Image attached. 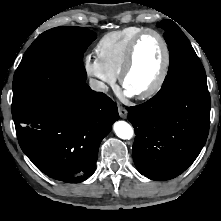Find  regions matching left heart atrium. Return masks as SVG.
I'll return each mask as SVG.
<instances>
[{
  "instance_id": "1",
  "label": "left heart atrium",
  "mask_w": 221,
  "mask_h": 221,
  "mask_svg": "<svg viewBox=\"0 0 221 221\" xmlns=\"http://www.w3.org/2000/svg\"><path fill=\"white\" fill-rule=\"evenodd\" d=\"M125 93H126L127 96H132V95H134L132 92H130V91L127 90V89H126Z\"/></svg>"
}]
</instances>
